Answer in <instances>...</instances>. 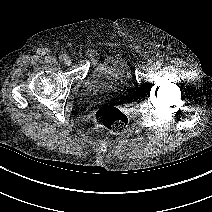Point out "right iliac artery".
Here are the masks:
<instances>
[{
  "mask_svg": "<svg viewBox=\"0 0 212 212\" xmlns=\"http://www.w3.org/2000/svg\"><path fill=\"white\" fill-rule=\"evenodd\" d=\"M65 58H66V55H65V54H61V55L59 56V59H60L61 61H64Z\"/></svg>",
  "mask_w": 212,
  "mask_h": 212,
  "instance_id": "82829eb1",
  "label": "right iliac artery"
}]
</instances>
